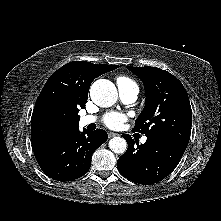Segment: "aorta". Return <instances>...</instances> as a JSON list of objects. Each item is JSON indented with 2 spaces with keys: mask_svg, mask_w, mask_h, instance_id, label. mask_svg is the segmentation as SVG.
Masks as SVG:
<instances>
[{
  "mask_svg": "<svg viewBox=\"0 0 221 221\" xmlns=\"http://www.w3.org/2000/svg\"><path fill=\"white\" fill-rule=\"evenodd\" d=\"M92 101L100 107H110L117 101L118 93L115 85L107 79L95 81L90 88ZM112 152L123 154L127 149L126 141L121 137H113L109 141Z\"/></svg>",
  "mask_w": 221,
  "mask_h": 221,
  "instance_id": "aorta-1",
  "label": "aorta"
}]
</instances>
